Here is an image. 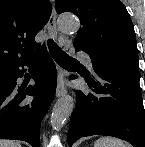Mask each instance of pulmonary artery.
I'll list each match as a JSON object with an SVG mask.
<instances>
[{
    "label": "pulmonary artery",
    "mask_w": 145,
    "mask_h": 147,
    "mask_svg": "<svg viewBox=\"0 0 145 147\" xmlns=\"http://www.w3.org/2000/svg\"><path fill=\"white\" fill-rule=\"evenodd\" d=\"M77 56L85 63V65L92 70L93 69V63L90 58V56L86 53L80 52L77 54Z\"/></svg>",
    "instance_id": "e3ab8cb5"
}]
</instances>
